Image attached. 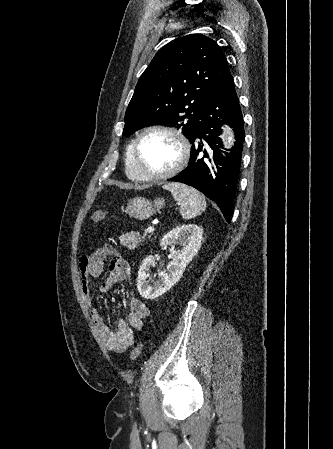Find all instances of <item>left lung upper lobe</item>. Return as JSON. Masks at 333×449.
Here are the masks:
<instances>
[{"instance_id":"5c2ea615","label":"left lung upper lobe","mask_w":333,"mask_h":449,"mask_svg":"<svg viewBox=\"0 0 333 449\" xmlns=\"http://www.w3.org/2000/svg\"><path fill=\"white\" fill-rule=\"evenodd\" d=\"M230 77L227 60L211 38L190 34L169 42L141 75L122 135L164 122L191 141L208 101Z\"/></svg>"}]
</instances>
